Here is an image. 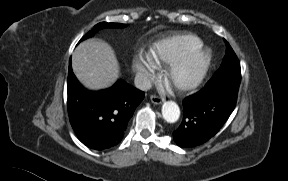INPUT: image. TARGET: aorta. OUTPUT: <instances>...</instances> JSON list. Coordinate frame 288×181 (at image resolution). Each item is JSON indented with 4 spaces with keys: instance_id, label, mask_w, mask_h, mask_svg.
I'll return each instance as SVG.
<instances>
[{
    "instance_id": "762f6f07",
    "label": "aorta",
    "mask_w": 288,
    "mask_h": 181,
    "mask_svg": "<svg viewBox=\"0 0 288 181\" xmlns=\"http://www.w3.org/2000/svg\"><path fill=\"white\" fill-rule=\"evenodd\" d=\"M162 116L168 123H175L180 117L179 106L173 101H167L162 106Z\"/></svg>"
}]
</instances>
